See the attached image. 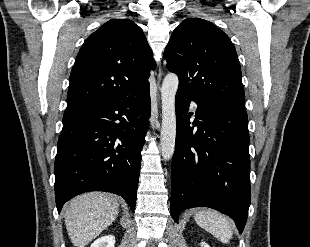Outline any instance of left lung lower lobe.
I'll list each match as a JSON object with an SVG mask.
<instances>
[{
  "instance_id": "1",
  "label": "left lung lower lobe",
  "mask_w": 310,
  "mask_h": 247,
  "mask_svg": "<svg viewBox=\"0 0 310 247\" xmlns=\"http://www.w3.org/2000/svg\"><path fill=\"white\" fill-rule=\"evenodd\" d=\"M198 108L193 127L189 104ZM176 146L172 159L171 214L210 207L234 219L242 233L250 205L248 118L244 109L176 94ZM197 126L194 134L193 129Z\"/></svg>"
}]
</instances>
